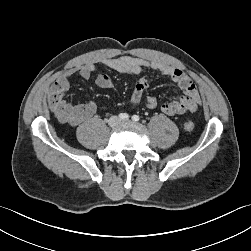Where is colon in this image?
Segmentation results:
<instances>
[{
  "label": "colon",
  "mask_w": 251,
  "mask_h": 251,
  "mask_svg": "<svg viewBox=\"0 0 251 251\" xmlns=\"http://www.w3.org/2000/svg\"><path fill=\"white\" fill-rule=\"evenodd\" d=\"M184 128L186 131H192L194 129V123L192 121H187L184 124Z\"/></svg>",
  "instance_id": "5ec220e1"
}]
</instances>
